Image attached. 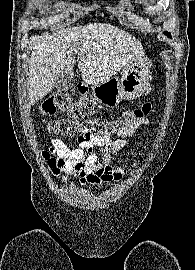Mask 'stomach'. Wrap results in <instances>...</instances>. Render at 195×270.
Instances as JSON below:
<instances>
[{"mask_svg":"<svg viewBox=\"0 0 195 270\" xmlns=\"http://www.w3.org/2000/svg\"><path fill=\"white\" fill-rule=\"evenodd\" d=\"M150 63L143 57L127 65L120 79L114 77L92 85L94 98L102 105L115 108L122 99H136L148 88Z\"/></svg>","mask_w":195,"mask_h":270,"instance_id":"stomach-1","label":"stomach"}]
</instances>
